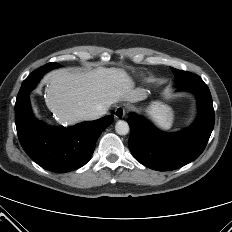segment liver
<instances>
[{"label": "liver", "instance_id": "1", "mask_svg": "<svg viewBox=\"0 0 232 232\" xmlns=\"http://www.w3.org/2000/svg\"><path fill=\"white\" fill-rule=\"evenodd\" d=\"M47 106L61 124L74 125L99 108L108 109L119 101L138 102L147 98L145 89H134L128 74L119 68L80 72L58 69L48 73Z\"/></svg>", "mask_w": 232, "mask_h": 232}]
</instances>
